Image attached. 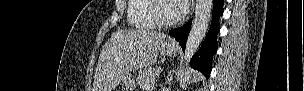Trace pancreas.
I'll return each instance as SVG.
<instances>
[{"instance_id": "cf45deb5", "label": "pancreas", "mask_w": 304, "mask_h": 91, "mask_svg": "<svg viewBox=\"0 0 304 91\" xmlns=\"http://www.w3.org/2000/svg\"><path fill=\"white\" fill-rule=\"evenodd\" d=\"M161 68H148L138 75V84L143 90H147L148 86L152 87L155 79L160 75Z\"/></svg>"}]
</instances>
